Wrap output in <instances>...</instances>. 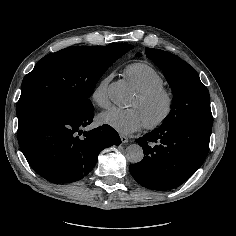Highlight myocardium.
Here are the masks:
<instances>
[{
	"instance_id": "f54148a6",
	"label": "myocardium",
	"mask_w": 236,
	"mask_h": 236,
	"mask_svg": "<svg viewBox=\"0 0 236 236\" xmlns=\"http://www.w3.org/2000/svg\"><path fill=\"white\" fill-rule=\"evenodd\" d=\"M136 96L142 103H151L157 99L164 100L165 109L162 115L158 119L145 124V127L148 130H155L163 126L173 114L175 108V95L168 87L161 86L152 90L137 92Z\"/></svg>"
}]
</instances>
